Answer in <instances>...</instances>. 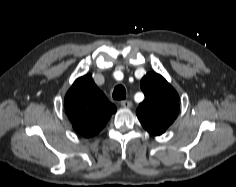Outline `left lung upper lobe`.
Instances as JSON below:
<instances>
[{
  "instance_id": "1",
  "label": "left lung upper lobe",
  "mask_w": 236,
  "mask_h": 187,
  "mask_svg": "<svg viewBox=\"0 0 236 187\" xmlns=\"http://www.w3.org/2000/svg\"><path fill=\"white\" fill-rule=\"evenodd\" d=\"M140 86L145 100L136 110L142 126L153 135H161L179 113V95L159 74L147 73Z\"/></svg>"
}]
</instances>
